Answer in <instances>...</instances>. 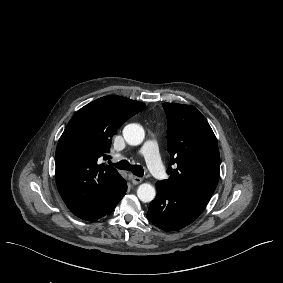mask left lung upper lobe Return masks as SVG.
<instances>
[{"label":"left lung upper lobe","mask_w":283,"mask_h":283,"mask_svg":"<svg viewBox=\"0 0 283 283\" xmlns=\"http://www.w3.org/2000/svg\"><path fill=\"white\" fill-rule=\"evenodd\" d=\"M170 177L159 184L208 203L220 172L217 139L205 117L194 107L164 103Z\"/></svg>","instance_id":"1"}]
</instances>
